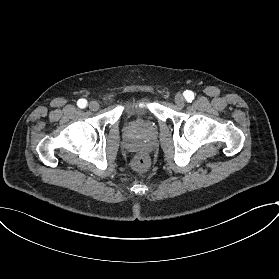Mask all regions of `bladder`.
Masks as SVG:
<instances>
[{
	"label": "bladder",
	"mask_w": 279,
	"mask_h": 279,
	"mask_svg": "<svg viewBox=\"0 0 279 279\" xmlns=\"http://www.w3.org/2000/svg\"><path fill=\"white\" fill-rule=\"evenodd\" d=\"M153 104V99L148 94L133 95L127 100L123 101L121 107L126 112H143L150 108Z\"/></svg>",
	"instance_id": "1"
}]
</instances>
